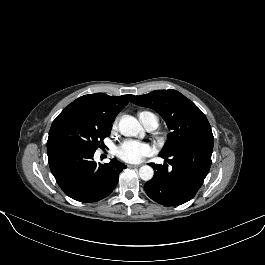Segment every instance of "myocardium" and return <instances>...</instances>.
Instances as JSON below:
<instances>
[{
  "label": "myocardium",
  "instance_id": "f54148a6",
  "mask_svg": "<svg viewBox=\"0 0 265 265\" xmlns=\"http://www.w3.org/2000/svg\"><path fill=\"white\" fill-rule=\"evenodd\" d=\"M159 139L162 141L164 138L163 137H160Z\"/></svg>",
  "mask_w": 265,
  "mask_h": 265
}]
</instances>
